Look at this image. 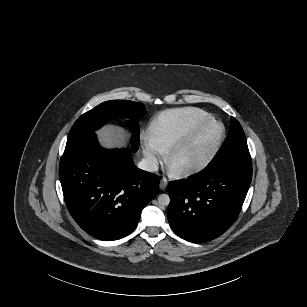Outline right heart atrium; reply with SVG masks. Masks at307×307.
<instances>
[{
  "label": "right heart atrium",
  "mask_w": 307,
  "mask_h": 307,
  "mask_svg": "<svg viewBox=\"0 0 307 307\" xmlns=\"http://www.w3.org/2000/svg\"><path fill=\"white\" fill-rule=\"evenodd\" d=\"M142 152L146 167L150 170L157 169L163 160V152L154 144L153 141L147 140L142 143Z\"/></svg>",
  "instance_id": "d8ad5b80"
}]
</instances>
